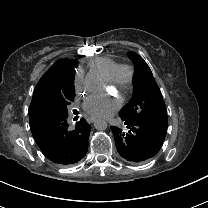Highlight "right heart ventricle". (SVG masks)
I'll use <instances>...</instances> for the list:
<instances>
[{
	"instance_id": "1",
	"label": "right heart ventricle",
	"mask_w": 208,
	"mask_h": 208,
	"mask_svg": "<svg viewBox=\"0 0 208 208\" xmlns=\"http://www.w3.org/2000/svg\"><path fill=\"white\" fill-rule=\"evenodd\" d=\"M92 69L100 71L104 77H109L119 66V64L109 57H97L89 61Z\"/></svg>"
}]
</instances>
